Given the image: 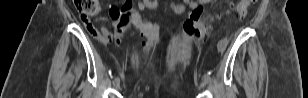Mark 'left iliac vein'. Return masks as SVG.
<instances>
[{"label":"left iliac vein","mask_w":308,"mask_h":98,"mask_svg":"<svg viewBox=\"0 0 308 98\" xmlns=\"http://www.w3.org/2000/svg\"><path fill=\"white\" fill-rule=\"evenodd\" d=\"M207 80L205 79V77L203 78V86H205L207 84Z\"/></svg>","instance_id":"1"}]
</instances>
